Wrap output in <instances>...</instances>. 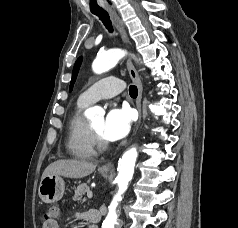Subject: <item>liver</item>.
<instances>
[{
    "label": "liver",
    "mask_w": 238,
    "mask_h": 228,
    "mask_svg": "<svg viewBox=\"0 0 238 228\" xmlns=\"http://www.w3.org/2000/svg\"><path fill=\"white\" fill-rule=\"evenodd\" d=\"M96 169V164L85 160H57L44 170L42 178L48 175L64 176L69 178H83Z\"/></svg>",
    "instance_id": "liver-1"
}]
</instances>
